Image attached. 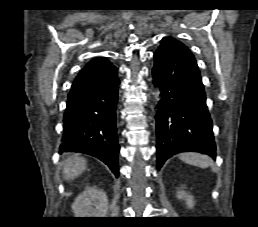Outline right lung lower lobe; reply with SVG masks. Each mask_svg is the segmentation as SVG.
Listing matches in <instances>:
<instances>
[{
  "mask_svg": "<svg viewBox=\"0 0 258 227\" xmlns=\"http://www.w3.org/2000/svg\"><path fill=\"white\" fill-rule=\"evenodd\" d=\"M117 68L105 58L91 60L76 76L64 114L62 152H80L106 163L119 175L116 105Z\"/></svg>",
  "mask_w": 258,
  "mask_h": 227,
  "instance_id": "right-lung-lower-lobe-1",
  "label": "right lung lower lobe"
}]
</instances>
